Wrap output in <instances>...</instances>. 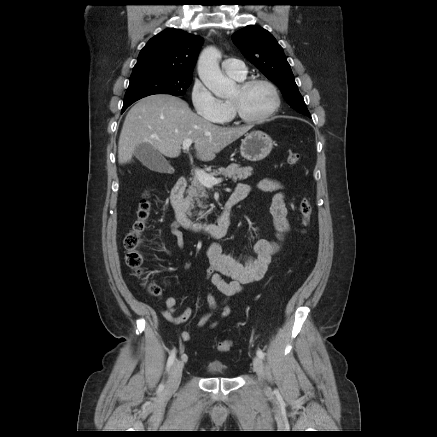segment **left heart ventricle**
<instances>
[{
  "label": "left heart ventricle",
  "mask_w": 437,
  "mask_h": 437,
  "mask_svg": "<svg viewBox=\"0 0 437 437\" xmlns=\"http://www.w3.org/2000/svg\"><path fill=\"white\" fill-rule=\"evenodd\" d=\"M230 100L235 101L241 111L249 117L264 115L273 105V94L265 85H255L247 90L236 87Z\"/></svg>",
  "instance_id": "left-heart-ventricle-1"
}]
</instances>
